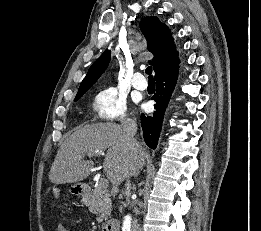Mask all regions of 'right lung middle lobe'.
<instances>
[{"label":"right lung middle lobe","instance_id":"right-lung-middle-lobe-1","mask_svg":"<svg viewBox=\"0 0 261 231\" xmlns=\"http://www.w3.org/2000/svg\"><path fill=\"white\" fill-rule=\"evenodd\" d=\"M85 92H82V93H78L77 95H76V97H75V100L74 101H77L78 99H80L82 96H83V94H84Z\"/></svg>","mask_w":261,"mask_h":231}]
</instances>
